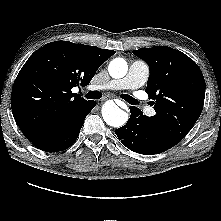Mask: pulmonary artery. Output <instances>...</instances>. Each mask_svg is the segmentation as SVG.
Segmentation results:
<instances>
[{"instance_id": "obj_1", "label": "pulmonary artery", "mask_w": 221, "mask_h": 221, "mask_svg": "<svg viewBox=\"0 0 221 221\" xmlns=\"http://www.w3.org/2000/svg\"><path fill=\"white\" fill-rule=\"evenodd\" d=\"M149 77V68L146 63L142 61H134L128 70L125 77L121 79L112 80L99 89L121 90V89H137L141 87ZM146 113L149 116L154 115V110L148 108Z\"/></svg>"}]
</instances>
